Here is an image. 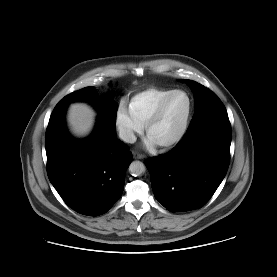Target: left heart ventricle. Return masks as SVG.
Returning a JSON list of instances; mask_svg holds the SVG:
<instances>
[{"label": "left heart ventricle", "mask_w": 277, "mask_h": 277, "mask_svg": "<svg viewBox=\"0 0 277 277\" xmlns=\"http://www.w3.org/2000/svg\"><path fill=\"white\" fill-rule=\"evenodd\" d=\"M188 99L182 94L174 95L165 106L161 117L151 127L149 137L158 145L178 134L188 111Z\"/></svg>", "instance_id": "left-heart-ventricle-1"}]
</instances>
